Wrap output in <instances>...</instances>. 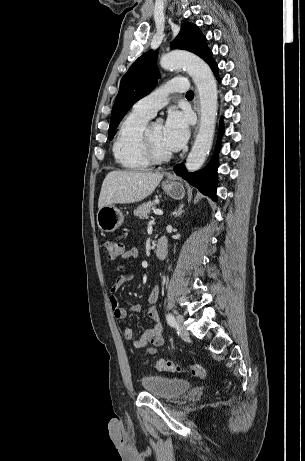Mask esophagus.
<instances>
[{
  "label": "esophagus",
  "mask_w": 305,
  "mask_h": 461,
  "mask_svg": "<svg viewBox=\"0 0 305 461\" xmlns=\"http://www.w3.org/2000/svg\"><path fill=\"white\" fill-rule=\"evenodd\" d=\"M195 110L197 112V115H198V122H197V126L195 128V131H194V136L196 135L197 131H198V127H199V121H200V105H199V99H198V94L196 92L195 94Z\"/></svg>",
  "instance_id": "esophagus-1"
}]
</instances>
